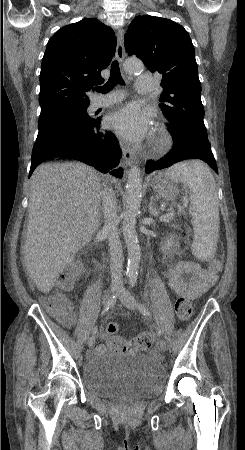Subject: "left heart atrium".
<instances>
[{
  "instance_id": "39dd6f15",
  "label": "left heart atrium",
  "mask_w": 245,
  "mask_h": 450,
  "mask_svg": "<svg viewBox=\"0 0 245 450\" xmlns=\"http://www.w3.org/2000/svg\"><path fill=\"white\" fill-rule=\"evenodd\" d=\"M107 123L122 139L137 141L150 132L152 115L137 104H128L111 113Z\"/></svg>"
}]
</instances>
